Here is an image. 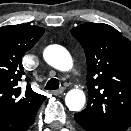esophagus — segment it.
<instances>
[{"mask_svg": "<svg viewBox=\"0 0 131 131\" xmlns=\"http://www.w3.org/2000/svg\"><path fill=\"white\" fill-rule=\"evenodd\" d=\"M64 92V88L62 87V88H59V89H57V90H52V94L53 95H60V94H62Z\"/></svg>", "mask_w": 131, "mask_h": 131, "instance_id": "esophagus-1", "label": "esophagus"}]
</instances>
